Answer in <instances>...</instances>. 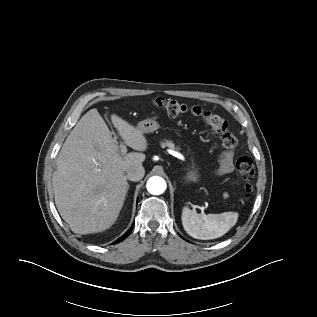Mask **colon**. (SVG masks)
<instances>
[{
    "mask_svg": "<svg viewBox=\"0 0 317 317\" xmlns=\"http://www.w3.org/2000/svg\"><path fill=\"white\" fill-rule=\"evenodd\" d=\"M156 107L164 110L169 116L177 117L188 111L194 116L202 119L209 128L219 134L222 147L226 150L233 149L237 145L236 136L228 129V124L224 118L201 107L188 108L185 104L174 100L158 98L155 101ZM236 169L245 180V192L250 194L252 191V180L255 174L253 161L249 157H240L236 161Z\"/></svg>",
    "mask_w": 317,
    "mask_h": 317,
    "instance_id": "5ec220e1",
    "label": "colon"
}]
</instances>
